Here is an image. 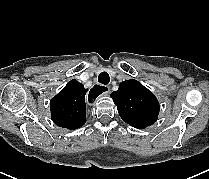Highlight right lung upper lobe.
<instances>
[{"instance_id": "cb5924a9", "label": "right lung upper lobe", "mask_w": 209, "mask_h": 179, "mask_svg": "<svg viewBox=\"0 0 209 179\" xmlns=\"http://www.w3.org/2000/svg\"><path fill=\"white\" fill-rule=\"evenodd\" d=\"M86 92L87 89L76 79L69 81L50 101L53 122L71 130L83 126L86 122Z\"/></svg>"}]
</instances>
